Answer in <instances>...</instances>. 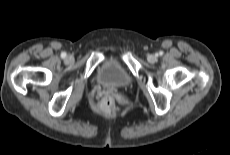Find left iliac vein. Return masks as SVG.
<instances>
[{
	"label": "left iliac vein",
	"mask_w": 230,
	"mask_h": 155,
	"mask_svg": "<svg viewBox=\"0 0 230 155\" xmlns=\"http://www.w3.org/2000/svg\"><path fill=\"white\" fill-rule=\"evenodd\" d=\"M147 60L149 63H155L157 61V57L151 54V55H148Z\"/></svg>",
	"instance_id": "left-iliac-vein-1"
}]
</instances>
